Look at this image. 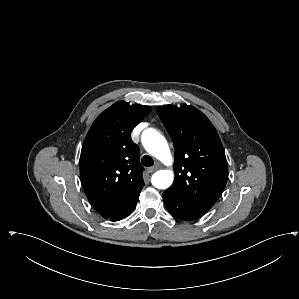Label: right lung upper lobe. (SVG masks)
<instances>
[{
	"instance_id": "1",
	"label": "right lung upper lobe",
	"mask_w": 299,
	"mask_h": 299,
	"mask_svg": "<svg viewBox=\"0 0 299 299\" xmlns=\"http://www.w3.org/2000/svg\"><path fill=\"white\" fill-rule=\"evenodd\" d=\"M150 111L149 106L116 102L97 117L85 138L80 177L90 204L105 219L131 203L144 186L139 148L130 134Z\"/></svg>"
}]
</instances>
